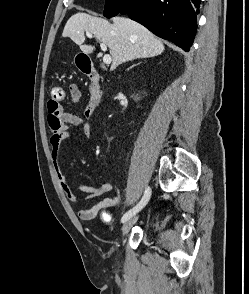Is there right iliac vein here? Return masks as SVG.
<instances>
[{
	"mask_svg": "<svg viewBox=\"0 0 249 294\" xmlns=\"http://www.w3.org/2000/svg\"><path fill=\"white\" fill-rule=\"evenodd\" d=\"M138 217L134 216L129 218L122 226V236L125 237L128 232L130 231V229L132 228V226L136 223Z\"/></svg>",
	"mask_w": 249,
	"mask_h": 294,
	"instance_id": "63e3f726",
	"label": "right iliac vein"
}]
</instances>
